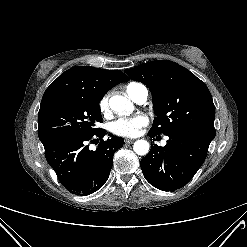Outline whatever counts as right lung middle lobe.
Here are the masks:
<instances>
[{
    "instance_id": "right-lung-middle-lobe-1",
    "label": "right lung middle lobe",
    "mask_w": 247,
    "mask_h": 247,
    "mask_svg": "<svg viewBox=\"0 0 247 247\" xmlns=\"http://www.w3.org/2000/svg\"><path fill=\"white\" fill-rule=\"evenodd\" d=\"M103 95L79 93L40 107L38 136L43 145L72 135L95 133L102 122L99 102Z\"/></svg>"
}]
</instances>
